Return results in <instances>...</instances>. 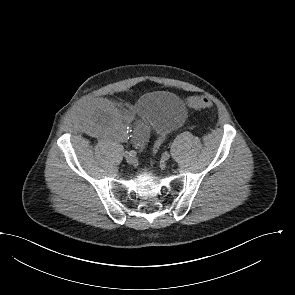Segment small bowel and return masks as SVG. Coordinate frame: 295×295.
Wrapping results in <instances>:
<instances>
[{
  "mask_svg": "<svg viewBox=\"0 0 295 295\" xmlns=\"http://www.w3.org/2000/svg\"><path fill=\"white\" fill-rule=\"evenodd\" d=\"M82 117L85 123L99 133L120 140L126 138L125 126L133 124L131 140L138 149L144 147L150 136V126L144 118L123 113L106 99L89 101L85 106Z\"/></svg>",
  "mask_w": 295,
  "mask_h": 295,
  "instance_id": "obj_1",
  "label": "small bowel"
}]
</instances>
